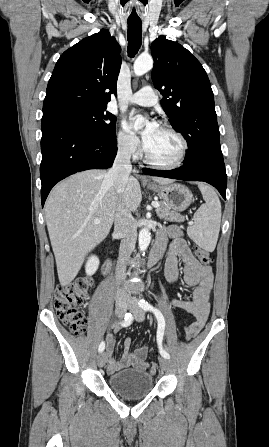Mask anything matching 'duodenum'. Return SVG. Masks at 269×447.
I'll use <instances>...</instances> for the list:
<instances>
[{
  "instance_id": "410a0bca",
  "label": "duodenum",
  "mask_w": 269,
  "mask_h": 447,
  "mask_svg": "<svg viewBox=\"0 0 269 447\" xmlns=\"http://www.w3.org/2000/svg\"><path fill=\"white\" fill-rule=\"evenodd\" d=\"M162 252L158 249H154L152 250L149 260H148V266L151 267L153 266L161 257ZM111 266V261L110 259H107L103 265V272L107 273L110 269Z\"/></svg>"
}]
</instances>
